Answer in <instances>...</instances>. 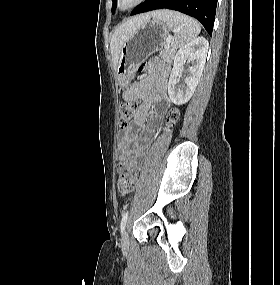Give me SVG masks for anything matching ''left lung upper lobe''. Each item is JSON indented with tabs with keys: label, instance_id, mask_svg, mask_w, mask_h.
Wrapping results in <instances>:
<instances>
[{
	"label": "left lung upper lobe",
	"instance_id": "1",
	"mask_svg": "<svg viewBox=\"0 0 280 285\" xmlns=\"http://www.w3.org/2000/svg\"><path fill=\"white\" fill-rule=\"evenodd\" d=\"M112 1H113L112 11L114 12V10L117 6V0H112Z\"/></svg>",
	"mask_w": 280,
	"mask_h": 285
}]
</instances>
